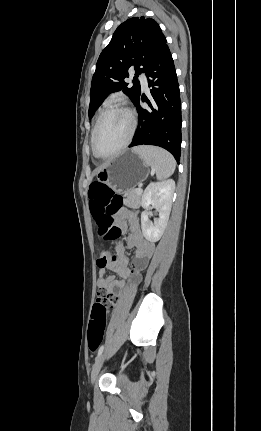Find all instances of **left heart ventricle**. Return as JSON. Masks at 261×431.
Here are the masks:
<instances>
[{
    "label": "left heart ventricle",
    "mask_w": 261,
    "mask_h": 431,
    "mask_svg": "<svg viewBox=\"0 0 261 431\" xmlns=\"http://www.w3.org/2000/svg\"><path fill=\"white\" fill-rule=\"evenodd\" d=\"M130 130L128 114L121 109L107 112L97 135V150L107 155L117 150L125 141Z\"/></svg>",
    "instance_id": "b2bd125f"
}]
</instances>
